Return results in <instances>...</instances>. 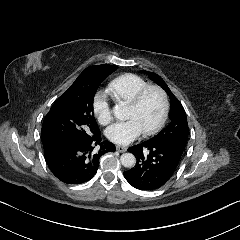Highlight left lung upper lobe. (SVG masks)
<instances>
[{
    "label": "left lung upper lobe",
    "mask_w": 240,
    "mask_h": 240,
    "mask_svg": "<svg viewBox=\"0 0 240 240\" xmlns=\"http://www.w3.org/2000/svg\"><path fill=\"white\" fill-rule=\"evenodd\" d=\"M151 80L160 85L170 98V124L153 138L145 141L150 144H175L185 149L188 139V122L180 101L170 91L164 80L154 72H146Z\"/></svg>",
    "instance_id": "1"
}]
</instances>
